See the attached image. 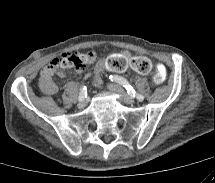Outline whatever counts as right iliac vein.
<instances>
[{"mask_svg":"<svg viewBox=\"0 0 215 183\" xmlns=\"http://www.w3.org/2000/svg\"><path fill=\"white\" fill-rule=\"evenodd\" d=\"M85 106H86V101H85V99L79 101V103H78V107H79V108H84Z\"/></svg>","mask_w":215,"mask_h":183,"instance_id":"63e3f726","label":"right iliac vein"}]
</instances>
